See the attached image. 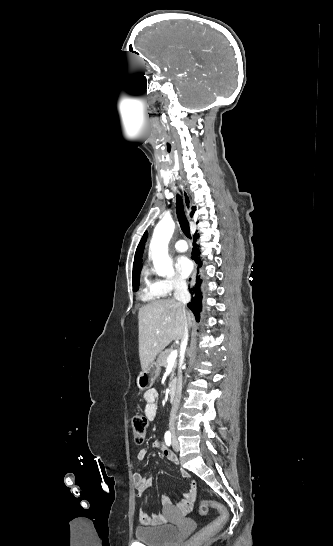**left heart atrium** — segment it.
<instances>
[{
	"label": "left heart atrium",
	"instance_id": "1",
	"mask_svg": "<svg viewBox=\"0 0 333 546\" xmlns=\"http://www.w3.org/2000/svg\"><path fill=\"white\" fill-rule=\"evenodd\" d=\"M176 268L181 276L187 277L192 271V262L186 256H179L176 261Z\"/></svg>",
	"mask_w": 333,
	"mask_h": 546
}]
</instances>
